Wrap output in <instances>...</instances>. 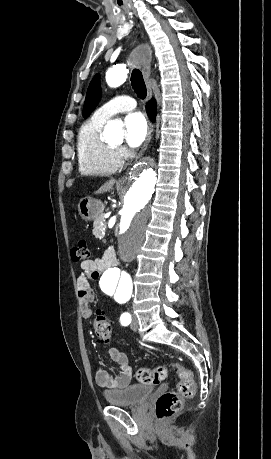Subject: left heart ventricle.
<instances>
[{"instance_id":"obj_1","label":"left heart ventricle","mask_w":271,"mask_h":459,"mask_svg":"<svg viewBox=\"0 0 271 459\" xmlns=\"http://www.w3.org/2000/svg\"><path fill=\"white\" fill-rule=\"evenodd\" d=\"M110 142L115 144V145H119V144H121L122 140L119 139V140H114V141H110Z\"/></svg>"}]
</instances>
